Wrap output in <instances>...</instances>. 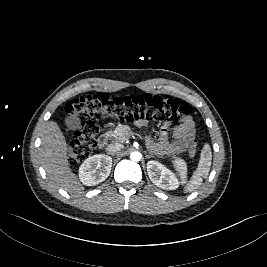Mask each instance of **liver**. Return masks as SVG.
<instances>
[{
  "label": "liver",
  "instance_id": "obj_1",
  "mask_svg": "<svg viewBox=\"0 0 267 267\" xmlns=\"http://www.w3.org/2000/svg\"><path fill=\"white\" fill-rule=\"evenodd\" d=\"M68 145L59 125L49 121L43 131L39 156L49 180L69 193L84 190L69 167Z\"/></svg>",
  "mask_w": 267,
  "mask_h": 267
}]
</instances>
